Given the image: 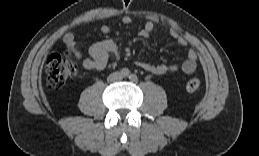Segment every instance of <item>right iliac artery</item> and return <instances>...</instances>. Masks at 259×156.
Masks as SVG:
<instances>
[{
  "label": "right iliac artery",
  "instance_id": "right-iliac-artery-1",
  "mask_svg": "<svg viewBox=\"0 0 259 156\" xmlns=\"http://www.w3.org/2000/svg\"><path fill=\"white\" fill-rule=\"evenodd\" d=\"M120 74H121V76H123V77H127V76H129L130 71H129V69H127V68H123V69L120 70Z\"/></svg>",
  "mask_w": 259,
  "mask_h": 156
}]
</instances>
